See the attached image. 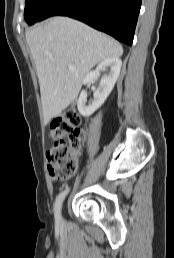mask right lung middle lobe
Masks as SVG:
<instances>
[{"instance_id":"obj_1","label":"right lung middle lobe","mask_w":174,"mask_h":258,"mask_svg":"<svg viewBox=\"0 0 174 258\" xmlns=\"http://www.w3.org/2000/svg\"><path fill=\"white\" fill-rule=\"evenodd\" d=\"M52 0H25L24 18L29 25L41 21Z\"/></svg>"}]
</instances>
